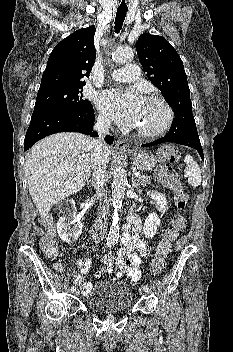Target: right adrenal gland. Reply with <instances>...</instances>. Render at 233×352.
<instances>
[{"label":"right adrenal gland","mask_w":233,"mask_h":352,"mask_svg":"<svg viewBox=\"0 0 233 352\" xmlns=\"http://www.w3.org/2000/svg\"><path fill=\"white\" fill-rule=\"evenodd\" d=\"M87 183H88L89 185H91V186H95V181H94L93 178H92V179H89V180L87 181Z\"/></svg>","instance_id":"1"}]
</instances>
